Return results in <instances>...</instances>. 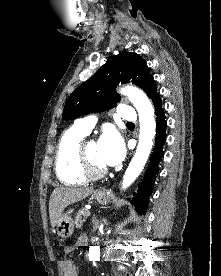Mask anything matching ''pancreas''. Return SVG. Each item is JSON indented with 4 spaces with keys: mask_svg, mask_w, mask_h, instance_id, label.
I'll return each instance as SVG.
<instances>
[{
    "mask_svg": "<svg viewBox=\"0 0 221 276\" xmlns=\"http://www.w3.org/2000/svg\"><path fill=\"white\" fill-rule=\"evenodd\" d=\"M88 210L83 208L79 211L75 218L76 228H81L83 226L84 221L86 220Z\"/></svg>",
    "mask_w": 221,
    "mask_h": 276,
    "instance_id": "obj_1",
    "label": "pancreas"
}]
</instances>
